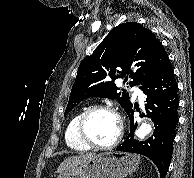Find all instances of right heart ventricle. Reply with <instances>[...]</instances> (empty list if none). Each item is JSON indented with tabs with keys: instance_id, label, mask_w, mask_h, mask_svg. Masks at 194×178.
<instances>
[{
	"instance_id": "1",
	"label": "right heart ventricle",
	"mask_w": 194,
	"mask_h": 178,
	"mask_svg": "<svg viewBox=\"0 0 194 178\" xmlns=\"http://www.w3.org/2000/svg\"><path fill=\"white\" fill-rule=\"evenodd\" d=\"M82 113H83V110L77 112L70 119L65 131V142L70 149L75 151H85L89 149L87 145H85L82 141H80L76 132L77 123Z\"/></svg>"
}]
</instances>
